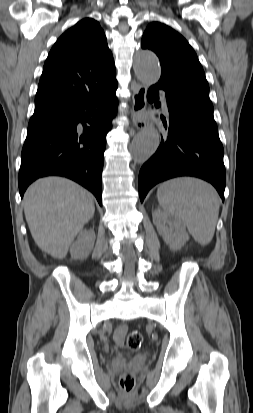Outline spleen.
<instances>
[{
    "label": "spleen",
    "mask_w": 253,
    "mask_h": 413,
    "mask_svg": "<svg viewBox=\"0 0 253 413\" xmlns=\"http://www.w3.org/2000/svg\"><path fill=\"white\" fill-rule=\"evenodd\" d=\"M162 209L183 221L200 245L211 242L219 215L220 198L214 187L191 177L175 178L157 190Z\"/></svg>",
    "instance_id": "3e777b00"
}]
</instances>
